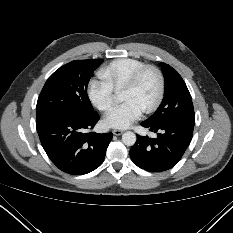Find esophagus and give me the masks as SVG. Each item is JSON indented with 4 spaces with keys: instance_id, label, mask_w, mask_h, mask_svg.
I'll return each instance as SVG.
<instances>
[{
    "instance_id": "1",
    "label": "esophagus",
    "mask_w": 233,
    "mask_h": 233,
    "mask_svg": "<svg viewBox=\"0 0 233 233\" xmlns=\"http://www.w3.org/2000/svg\"><path fill=\"white\" fill-rule=\"evenodd\" d=\"M123 132H124L123 130H118V129L112 130V133H113L115 136H119V135H121Z\"/></svg>"
}]
</instances>
